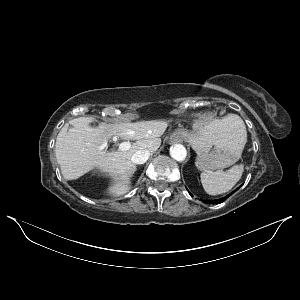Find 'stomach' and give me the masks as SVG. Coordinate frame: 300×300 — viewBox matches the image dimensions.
Here are the masks:
<instances>
[{"instance_id": "obj_1", "label": "stomach", "mask_w": 300, "mask_h": 300, "mask_svg": "<svg viewBox=\"0 0 300 300\" xmlns=\"http://www.w3.org/2000/svg\"><path fill=\"white\" fill-rule=\"evenodd\" d=\"M186 140L197 153L196 166L202 170L224 169L236 163L244 149L243 134L226 118L196 123L193 131L173 135Z\"/></svg>"}]
</instances>
